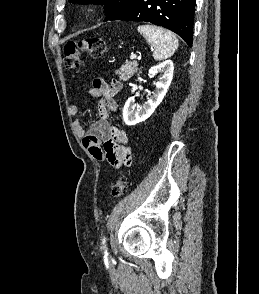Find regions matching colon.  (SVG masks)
<instances>
[{"label":"colon","instance_id":"obj_1","mask_svg":"<svg viewBox=\"0 0 259 294\" xmlns=\"http://www.w3.org/2000/svg\"><path fill=\"white\" fill-rule=\"evenodd\" d=\"M106 43L102 38L89 37L79 41L68 42L64 47V64L68 69H78L81 65V54H87L93 58L103 55ZM129 187V180L125 176L119 177L112 187V196L121 197Z\"/></svg>","mask_w":259,"mask_h":294}]
</instances>
